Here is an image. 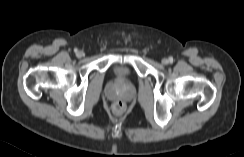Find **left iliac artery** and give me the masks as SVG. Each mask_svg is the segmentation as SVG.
<instances>
[{
	"label": "left iliac artery",
	"mask_w": 244,
	"mask_h": 157,
	"mask_svg": "<svg viewBox=\"0 0 244 157\" xmlns=\"http://www.w3.org/2000/svg\"><path fill=\"white\" fill-rule=\"evenodd\" d=\"M169 62L172 63L173 62V58L169 57Z\"/></svg>",
	"instance_id": "1"
}]
</instances>
